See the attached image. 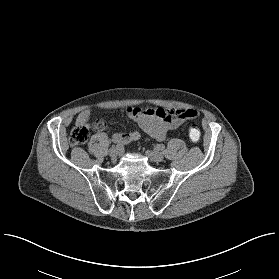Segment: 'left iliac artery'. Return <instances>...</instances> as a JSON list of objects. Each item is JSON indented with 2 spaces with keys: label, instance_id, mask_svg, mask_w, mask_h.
I'll return each instance as SVG.
<instances>
[{
  "label": "left iliac artery",
  "instance_id": "1",
  "mask_svg": "<svg viewBox=\"0 0 279 279\" xmlns=\"http://www.w3.org/2000/svg\"><path fill=\"white\" fill-rule=\"evenodd\" d=\"M156 148L160 151H164L165 146L163 144H157Z\"/></svg>",
  "mask_w": 279,
  "mask_h": 279
}]
</instances>
